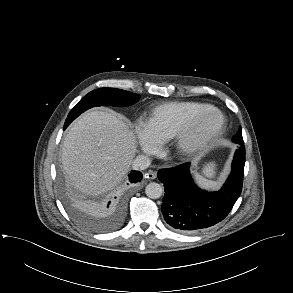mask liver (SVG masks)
Masks as SVG:
<instances>
[{"instance_id": "1", "label": "liver", "mask_w": 293, "mask_h": 293, "mask_svg": "<svg viewBox=\"0 0 293 293\" xmlns=\"http://www.w3.org/2000/svg\"><path fill=\"white\" fill-rule=\"evenodd\" d=\"M136 152V138L122 117L91 111L70 128L61 160L69 184L87 195L115 187L128 173Z\"/></svg>"}]
</instances>
